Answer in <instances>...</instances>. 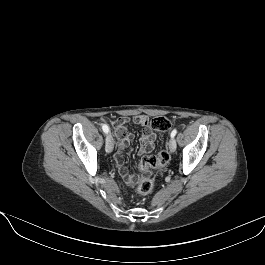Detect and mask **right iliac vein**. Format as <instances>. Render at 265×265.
Returning a JSON list of instances; mask_svg holds the SVG:
<instances>
[{
    "mask_svg": "<svg viewBox=\"0 0 265 265\" xmlns=\"http://www.w3.org/2000/svg\"><path fill=\"white\" fill-rule=\"evenodd\" d=\"M114 147V139L111 134L107 135L105 150L107 153H111Z\"/></svg>",
    "mask_w": 265,
    "mask_h": 265,
    "instance_id": "63e3f726",
    "label": "right iliac vein"
}]
</instances>
